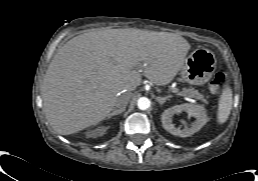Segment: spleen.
I'll use <instances>...</instances> for the list:
<instances>
[{
    "instance_id": "obj_1",
    "label": "spleen",
    "mask_w": 258,
    "mask_h": 181,
    "mask_svg": "<svg viewBox=\"0 0 258 181\" xmlns=\"http://www.w3.org/2000/svg\"><path fill=\"white\" fill-rule=\"evenodd\" d=\"M232 89L228 84L224 85V89L218 101L217 121L224 124L232 109L233 98Z\"/></svg>"
}]
</instances>
